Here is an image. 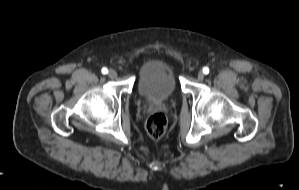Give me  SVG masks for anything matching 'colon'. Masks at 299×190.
<instances>
[{
  "mask_svg": "<svg viewBox=\"0 0 299 190\" xmlns=\"http://www.w3.org/2000/svg\"><path fill=\"white\" fill-rule=\"evenodd\" d=\"M166 128V117L160 112L153 113L147 119L146 130L153 139L161 138L165 134Z\"/></svg>",
  "mask_w": 299,
  "mask_h": 190,
  "instance_id": "1",
  "label": "colon"
}]
</instances>
